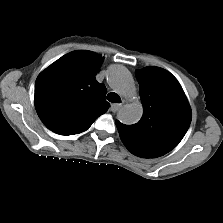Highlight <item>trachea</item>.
<instances>
[{
    "instance_id": "obj_1",
    "label": "trachea",
    "mask_w": 223,
    "mask_h": 223,
    "mask_svg": "<svg viewBox=\"0 0 223 223\" xmlns=\"http://www.w3.org/2000/svg\"><path fill=\"white\" fill-rule=\"evenodd\" d=\"M106 98L112 103H121V98L114 92L109 93Z\"/></svg>"
}]
</instances>
